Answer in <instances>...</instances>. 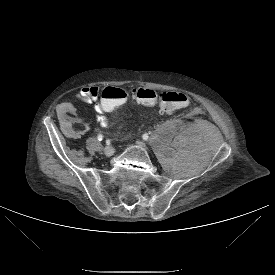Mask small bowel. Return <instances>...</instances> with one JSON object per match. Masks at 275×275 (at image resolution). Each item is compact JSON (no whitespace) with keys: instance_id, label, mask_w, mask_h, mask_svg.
Here are the masks:
<instances>
[{"instance_id":"small-bowel-1","label":"small bowel","mask_w":275,"mask_h":275,"mask_svg":"<svg viewBox=\"0 0 275 275\" xmlns=\"http://www.w3.org/2000/svg\"><path fill=\"white\" fill-rule=\"evenodd\" d=\"M101 90L97 86H86L81 88L75 95L76 99L84 103L91 104L96 102L97 121L103 127L109 125V120L106 115H102L97 108V101L99 100ZM74 112V105L70 101H63L59 105L58 117L60 119L61 127L65 135L69 138H79L81 131L77 129L69 120L72 119Z\"/></svg>"}]
</instances>
